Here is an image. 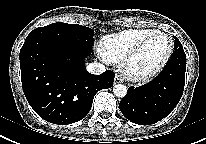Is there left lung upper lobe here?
Listing matches in <instances>:
<instances>
[{
  "instance_id": "left-lung-upper-lobe-1",
  "label": "left lung upper lobe",
  "mask_w": 206,
  "mask_h": 144,
  "mask_svg": "<svg viewBox=\"0 0 206 144\" xmlns=\"http://www.w3.org/2000/svg\"><path fill=\"white\" fill-rule=\"evenodd\" d=\"M174 38H175L174 49L182 46L181 43L179 42L178 38L177 37H174Z\"/></svg>"
}]
</instances>
